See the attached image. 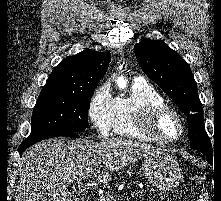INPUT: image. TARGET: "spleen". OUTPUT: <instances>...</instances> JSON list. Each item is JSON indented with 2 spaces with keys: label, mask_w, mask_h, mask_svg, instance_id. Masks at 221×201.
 <instances>
[{
  "label": "spleen",
  "mask_w": 221,
  "mask_h": 201,
  "mask_svg": "<svg viewBox=\"0 0 221 201\" xmlns=\"http://www.w3.org/2000/svg\"><path fill=\"white\" fill-rule=\"evenodd\" d=\"M208 197L206 196V193L203 191L202 195L200 196V199L198 201H205ZM208 201V200H207Z\"/></svg>",
  "instance_id": "3e777b00"
}]
</instances>
